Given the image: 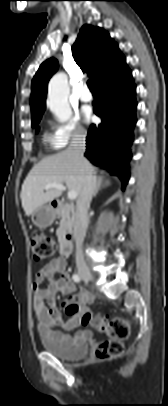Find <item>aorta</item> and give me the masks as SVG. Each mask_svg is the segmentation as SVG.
Masks as SVG:
<instances>
[{"label":"aorta","instance_id":"1","mask_svg":"<svg viewBox=\"0 0 168 406\" xmlns=\"http://www.w3.org/2000/svg\"><path fill=\"white\" fill-rule=\"evenodd\" d=\"M68 96L69 84L67 75L65 73L55 74L49 81L47 106L60 122H66L72 116Z\"/></svg>","mask_w":168,"mask_h":406}]
</instances>
